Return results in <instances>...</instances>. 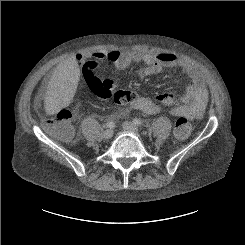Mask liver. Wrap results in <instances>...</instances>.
Instances as JSON below:
<instances>
[{"label": "liver", "instance_id": "1", "mask_svg": "<svg viewBox=\"0 0 245 245\" xmlns=\"http://www.w3.org/2000/svg\"><path fill=\"white\" fill-rule=\"evenodd\" d=\"M79 75L75 57H69L57 65L44 100L45 112L48 115H54L70 105L77 89Z\"/></svg>", "mask_w": 245, "mask_h": 245}]
</instances>
